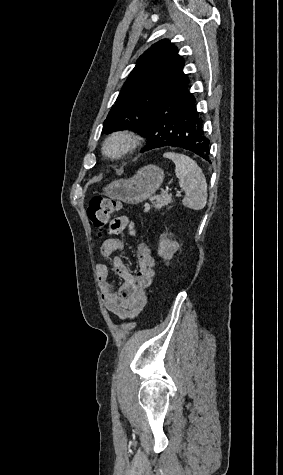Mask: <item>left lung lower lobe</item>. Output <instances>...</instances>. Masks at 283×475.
Segmentation results:
<instances>
[{
    "instance_id": "1",
    "label": "left lung lower lobe",
    "mask_w": 283,
    "mask_h": 475,
    "mask_svg": "<svg viewBox=\"0 0 283 475\" xmlns=\"http://www.w3.org/2000/svg\"><path fill=\"white\" fill-rule=\"evenodd\" d=\"M185 79L166 94L154 107L141 135L146 137L145 152L171 146L189 150L205 160L210 158V140L203 130V120L196 109L195 97Z\"/></svg>"
}]
</instances>
